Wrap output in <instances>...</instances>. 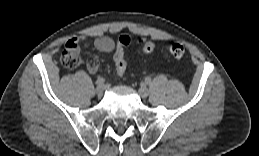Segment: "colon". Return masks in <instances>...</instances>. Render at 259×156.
<instances>
[{"label": "colon", "instance_id": "5ec220e1", "mask_svg": "<svg viewBox=\"0 0 259 156\" xmlns=\"http://www.w3.org/2000/svg\"><path fill=\"white\" fill-rule=\"evenodd\" d=\"M130 44V37L127 35H121L118 38L117 49L114 54V63L116 67V72L118 76H123L126 72L127 64L125 61L124 49ZM139 44L141 45L142 51L146 54H150L154 51L155 46L151 41L146 39H140ZM170 54L177 58L181 59L185 55V48L182 44L174 42L169 46ZM79 55L78 52L72 48L66 47L62 54V63L67 68H75L79 64Z\"/></svg>", "mask_w": 259, "mask_h": 156}]
</instances>
